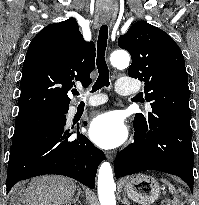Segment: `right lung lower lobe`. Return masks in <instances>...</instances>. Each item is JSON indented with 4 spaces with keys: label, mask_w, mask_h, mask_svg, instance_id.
Segmentation results:
<instances>
[{
    "label": "right lung lower lobe",
    "mask_w": 199,
    "mask_h": 205,
    "mask_svg": "<svg viewBox=\"0 0 199 205\" xmlns=\"http://www.w3.org/2000/svg\"><path fill=\"white\" fill-rule=\"evenodd\" d=\"M66 121L38 129L12 141L7 170V193L19 180L44 174L71 177L93 189L98 165L105 159L102 150L87 137L68 140Z\"/></svg>",
    "instance_id": "1"
}]
</instances>
